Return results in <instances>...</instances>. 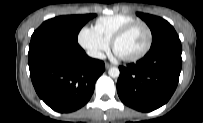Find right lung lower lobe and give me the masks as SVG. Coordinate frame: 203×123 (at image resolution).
<instances>
[{"mask_svg":"<svg viewBox=\"0 0 203 123\" xmlns=\"http://www.w3.org/2000/svg\"><path fill=\"white\" fill-rule=\"evenodd\" d=\"M30 76L38 96L57 112H72L91 98L104 62L92 59L78 43L53 38L31 39Z\"/></svg>","mask_w":203,"mask_h":123,"instance_id":"right-lung-lower-lobe-1","label":"right lung lower lobe"}]
</instances>
